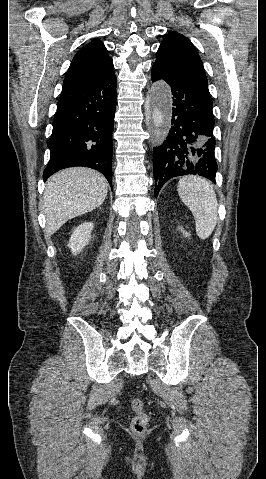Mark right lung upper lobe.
I'll list each match as a JSON object with an SVG mask.
<instances>
[{
	"instance_id": "1",
	"label": "right lung upper lobe",
	"mask_w": 266,
	"mask_h": 479,
	"mask_svg": "<svg viewBox=\"0 0 266 479\" xmlns=\"http://www.w3.org/2000/svg\"><path fill=\"white\" fill-rule=\"evenodd\" d=\"M114 66L104 44L94 39L74 56L63 87L86 85L114 76Z\"/></svg>"
}]
</instances>
